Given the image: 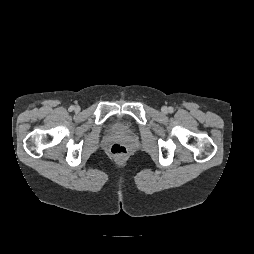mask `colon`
Returning a JSON list of instances; mask_svg holds the SVG:
<instances>
[{
  "label": "colon",
  "mask_w": 254,
  "mask_h": 254,
  "mask_svg": "<svg viewBox=\"0 0 254 254\" xmlns=\"http://www.w3.org/2000/svg\"><path fill=\"white\" fill-rule=\"evenodd\" d=\"M109 151L116 158H123L127 155V148L120 143L112 144Z\"/></svg>",
  "instance_id": "5ec220e1"
}]
</instances>
